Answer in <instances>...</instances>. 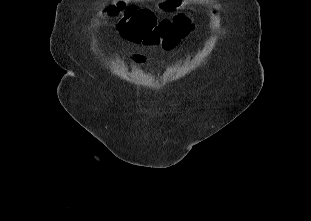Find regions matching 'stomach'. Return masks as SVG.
<instances>
[{
  "mask_svg": "<svg viewBox=\"0 0 311 221\" xmlns=\"http://www.w3.org/2000/svg\"><path fill=\"white\" fill-rule=\"evenodd\" d=\"M158 4H159V8H161V4H164V0H157Z\"/></svg>",
  "mask_w": 311,
  "mask_h": 221,
  "instance_id": "0dacf381",
  "label": "stomach"
}]
</instances>
